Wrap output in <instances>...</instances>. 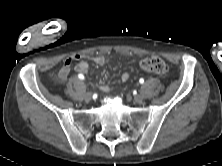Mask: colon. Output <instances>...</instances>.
I'll use <instances>...</instances> for the list:
<instances>
[{"mask_svg":"<svg viewBox=\"0 0 222 166\" xmlns=\"http://www.w3.org/2000/svg\"><path fill=\"white\" fill-rule=\"evenodd\" d=\"M140 67L150 73L166 75L169 72V66L158 57H147L140 61Z\"/></svg>","mask_w":222,"mask_h":166,"instance_id":"1","label":"colon"}]
</instances>
